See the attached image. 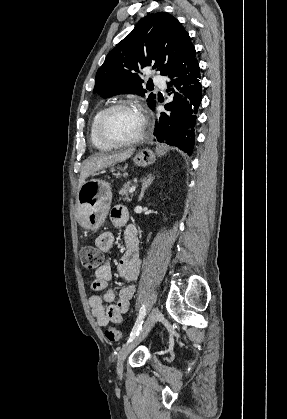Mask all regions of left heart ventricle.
I'll return each mask as SVG.
<instances>
[{
	"instance_id": "b2bd125f",
	"label": "left heart ventricle",
	"mask_w": 287,
	"mask_h": 419,
	"mask_svg": "<svg viewBox=\"0 0 287 419\" xmlns=\"http://www.w3.org/2000/svg\"><path fill=\"white\" fill-rule=\"evenodd\" d=\"M142 128L141 114L134 108H124L114 111L105 123L106 134L118 140L135 137Z\"/></svg>"
}]
</instances>
